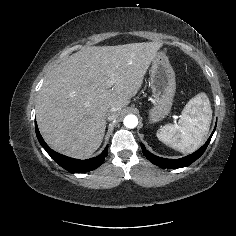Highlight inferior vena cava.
Here are the masks:
<instances>
[{
    "instance_id": "inferior-vena-cava-1",
    "label": "inferior vena cava",
    "mask_w": 236,
    "mask_h": 236,
    "mask_svg": "<svg viewBox=\"0 0 236 236\" xmlns=\"http://www.w3.org/2000/svg\"><path fill=\"white\" fill-rule=\"evenodd\" d=\"M118 108L116 107H112L111 109L108 110L107 114H106V118L111 121L117 118L118 114Z\"/></svg>"
}]
</instances>
